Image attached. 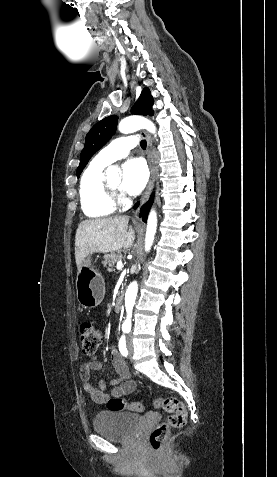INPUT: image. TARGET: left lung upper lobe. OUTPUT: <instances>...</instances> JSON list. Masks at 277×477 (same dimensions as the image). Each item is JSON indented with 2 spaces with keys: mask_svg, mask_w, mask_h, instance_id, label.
<instances>
[{
  "mask_svg": "<svg viewBox=\"0 0 277 477\" xmlns=\"http://www.w3.org/2000/svg\"><path fill=\"white\" fill-rule=\"evenodd\" d=\"M153 98L148 88H144L140 97L131 109L133 114L153 115ZM117 116H109L97 122L88 132L85 139V146L81 152L80 164L77 168V177L88 163L89 159L99 149H101L112 137L117 126Z\"/></svg>",
  "mask_w": 277,
  "mask_h": 477,
  "instance_id": "1",
  "label": "left lung upper lobe"
}]
</instances>
